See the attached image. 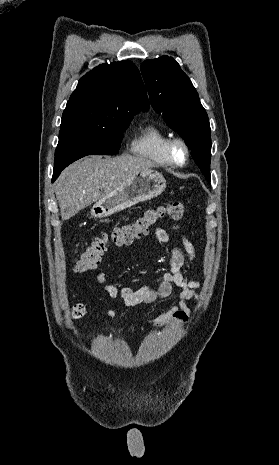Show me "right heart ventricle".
Listing matches in <instances>:
<instances>
[{
	"label": "right heart ventricle",
	"instance_id": "1",
	"mask_svg": "<svg viewBox=\"0 0 279 465\" xmlns=\"http://www.w3.org/2000/svg\"><path fill=\"white\" fill-rule=\"evenodd\" d=\"M169 138V133L161 125L149 122L132 141L130 151L159 165L171 166L172 163L166 152V143Z\"/></svg>",
	"mask_w": 279,
	"mask_h": 465
}]
</instances>
